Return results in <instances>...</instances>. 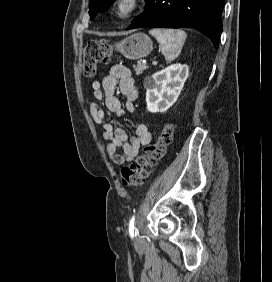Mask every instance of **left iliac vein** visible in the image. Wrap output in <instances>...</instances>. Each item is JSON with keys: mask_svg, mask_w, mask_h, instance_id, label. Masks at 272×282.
Returning a JSON list of instances; mask_svg holds the SVG:
<instances>
[{"mask_svg": "<svg viewBox=\"0 0 272 282\" xmlns=\"http://www.w3.org/2000/svg\"><path fill=\"white\" fill-rule=\"evenodd\" d=\"M134 242L136 246H140L142 244V239L139 235H136L134 238Z\"/></svg>", "mask_w": 272, "mask_h": 282, "instance_id": "left-iliac-vein-1", "label": "left iliac vein"}]
</instances>
